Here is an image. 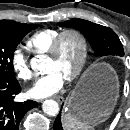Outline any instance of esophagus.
<instances>
[{
  "mask_svg": "<svg viewBox=\"0 0 130 130\" xmlns=\"http://www.w3.org/2000/svg\"><path fill=\"white\" fill-rule=\"evenodd\" d=\"M54 99L59 102V103H62L64 102V98L63 96H55ZM42 100H39V102H41Z\"/></svg>",
  "mask_w": 130,
  "mask_h": 130,
  "instance_id": "obj_1",
  "label": "esophagus"
}]
</instances>
